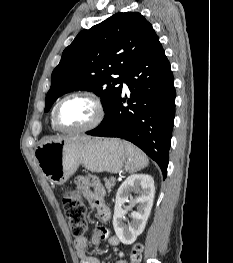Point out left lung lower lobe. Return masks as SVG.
<instances>
[{
  "label": "left lung lower lobe",
  "instance_id": "obj_1",
  "mask_svg": "<svg viewBox=\"0 0 233 263\" xmlns=\"http://www.w3.org/2000/svg\"><path fill=\"white\" fill-rule=\"evenodd\" d=\"M124 82L131 91L128 105L124 106L126 99L120 95L101 124L86 134L134 143L160 166L165 179L175 117V87L158 37L131 66Z\"/></svg>",
  "mask_w": 233,
  "mask_h": 263
}]
</instances>
